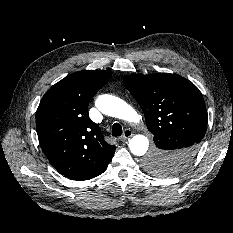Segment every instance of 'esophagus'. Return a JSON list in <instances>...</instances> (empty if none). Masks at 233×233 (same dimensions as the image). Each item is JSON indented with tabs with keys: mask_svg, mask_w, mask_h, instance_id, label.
I'll return each mask as SVG.
<instances>
[{
	"mask_svg": "<svg viewBox=\"0 0 233 233\" xmlns=\"http://www.w3.org/2000/svg\"><path fill=\"white\" fill-rule=\"evenodd\" d=\"M132 135H133V133L130 129H125L124 134L121 137V140L125 141V140L129 139L130 137H132Z\"/></svg>",
	"mask_w": 233,
	"mask_h": 233,
	"instance_id": "1",
	"label": "esophagus"
}]
</instances>
